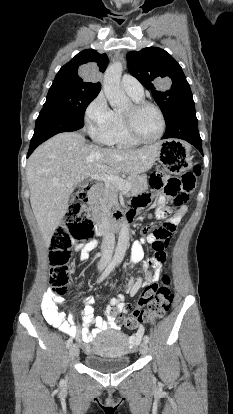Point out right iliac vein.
Wrapping results in <instances>:
<instances>
[{
	"label": "right iliac vein",
	"mask_w": 233,
	"mask_h": 414,
	"mask_svg": "<svg viewBox=\"0 0 233 414\" xmlns=\"http://www.w3.org/2000/svg\"><path fill=\"white\" fill-rule=\"evenodd\" d=\"M79 354V348L76 344H73L69 348V360L75 359Z\"/></svg>",
	"instance_id": "obj_1"
}]
</instances>
